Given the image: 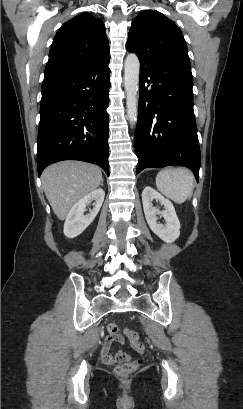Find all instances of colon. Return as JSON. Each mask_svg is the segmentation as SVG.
<instances>
[{
    "label": "colon",
    "mask_w": 243,
    "mask_h": 409,
    "mask_svg": "<svg viewBox=\"0 0 243 409\" xmlns=\"http://www.w3.org/2000/svg\"><path fill=\"white\" fill-rule=\"evenodd\" d=\"M107 330L112 334H116L119 331V328L116 324L111 323L107 326ZM124 336L129 340L133 349L138 352H142L144 350L143 343L140 341L137 333L125 330ZM137 365L138 362L136 361H131L129 359L125 360L115 368V373L120 377H126L137 368Z\"/></svg>",
    "instance_id": "1"
}]
</instances>
